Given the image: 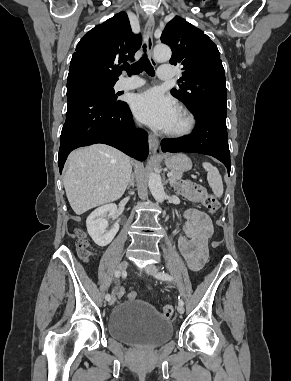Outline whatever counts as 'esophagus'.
<instances>
[{
  "instance_id": "34e87169",
  "label": "esophagus",
  "mask_w": 291,
  "mask_h": 381,
  "mask_svg": "<svg viewBox=\"0 0 291 381\" xmlns=\"http://www.w3.org/2000/svg\"><path fill=\"white\" fill-rule=\"evenodd\" d=\"M154 26H155V20H154V17L151 16L145 25L143 38H144V41H145L146 46H147V52H148L150 62L153 66H157V62L154 59L153 52H152L153 51V30H154ZM148 142H149V149H150L151 153L154 154L156 152L157 147H158L159 140L155 135L150 134Z\"/></svg>"
}]
</instances>
